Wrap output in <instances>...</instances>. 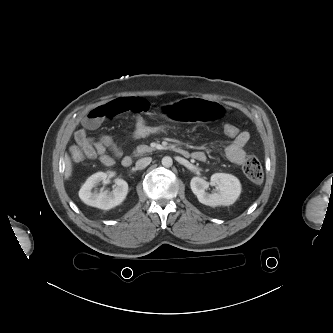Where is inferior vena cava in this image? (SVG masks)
I'll return each instance as SVG.
<instances>
[{
    "label": "inferior vena cava",
    "instance_id": "1",
    "mask_svg": "<svg viewBox=\"0 0 333 333\" xmlns=\"http://www.w3.org/2000/svg\"><path fill=\"white\" fill-rule=\"evenodd\" d=\"M151 161H152L151 157H145V158L139 159L136 162V168L139 170H142V169L146 168L151 163Z\"/></svg>",
    "mask_w": 333,
    "mask_h": 333
}]
</instances>
